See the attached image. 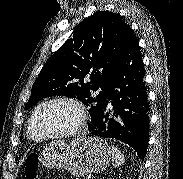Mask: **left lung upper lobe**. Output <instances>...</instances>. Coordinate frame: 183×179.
<instances>
[{
    "instance_id": "5c2ea615",
    "label": "left lung upper lobe",
    "mask_w": 183,
    "mask_h": 179,
    "mask_svg": "<svg viewBox=\"0 0 183 179\" xmlns=\"http://www.w3.org/2000/svg\"><path fill=\"white\" fill-rule=\"evenodd\" d=\"M130 30L122 16L109 11H98L83 20L45 63L25 109L45 97L62 95L89 106L91 123L95 121L107 101L109 81ZM99 87L102 91L94 96L91 90Z\"/></svg>"
}]
</instances>
